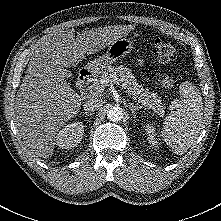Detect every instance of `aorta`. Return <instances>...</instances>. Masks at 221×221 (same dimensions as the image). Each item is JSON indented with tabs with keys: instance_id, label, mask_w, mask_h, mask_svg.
<instances>
[{
	"instance_id": "obj_1",
	"label": "aorta",
	"mask_w": 221,
	"mask_h": 221,
	"mask_svg": "<svg viewBox=\"0 0 221 221\" xmlns=\"http://www.w3.org/2000/svg\"><path fill=\"white\" fill-rule=\"evenodd\" d=\"M107 118L112 122H118L123 118V111L120 107L114 106L107 111Z\"/></svg>"
}]
</instances>
